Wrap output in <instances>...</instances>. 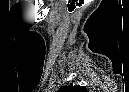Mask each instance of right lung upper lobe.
Wrapping results in <instances>:
<instances>
[{
    "label": "right lung upper lobe",
    "instance_id": "right-lung-upper-lobe-1",
    "mask_svg": "<svg viewBox=\"0 0 129 92\" xmlns=\"http://www.w3.org/2000/svg\"><path fill=\"white\" fill-rule=\"evenodd\" d=\"M73 90L79 91V90H81V87H79V86H77V85H75V86H73V85H70V86H62V87L58 90V92H71V91H73Z\"/></svg>",
    "mask_w": 129,
    "mask_h": 92
}]
</instances>
